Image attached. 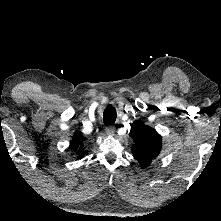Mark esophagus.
I'll use <instances>...</instances> for the list:
<instances>
[{"mask_svg":"<svg viewBox=\"0 0 221 221\" xmlns=\"http://www.w3.org/2000/svg\"><path fill=\"white\" fill-rule=\"evenodd\" d=\"M105 132H106L107 135L113 136L114 133H115V127L108 126V127H106Z\"/></svg>","mask_w":221,"mask_h":221,"instance_id":"obj_1","label":"esophagus"}]
</instances>
